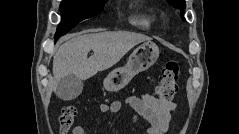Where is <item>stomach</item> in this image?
I'll list each match as a JSON object with an SVG mask.
<instances>
[{
	"label": "stomach",
	"instance_id": "obj_1",
	"mask_svg": "<svg viewBox=\"0 0 239 134\" xmlns=\"http://www.w3.org/2000/svg\"><path fill=\"white\" fill-rule=\"evenodd\" d=\"M159 57V48L151 41L144 42L130 55L127 63L111 71L104 80L108 91H117L130 82L139 72L152 66Z\"/></svg>",
	"mask_w": 239,
	"mask_h": 134
}]
</instances>
